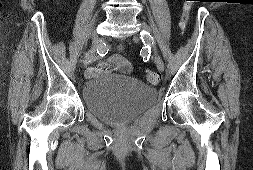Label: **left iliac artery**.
Returning <instances> with one entry per match:
<instances>
[{
    "instance_id": "left-iliac-artery-1",
    "label": "left iliac artery",
    "mask_w": 253,
    "mask_h": 170,
    "mask_svg": "<svg viewBox=\"0 0 253 170\" xmlns=\"http://www.w3.org/2000/svg\"><path fill=\"white\" fill-rule=\"evenodd\" d=\"M141 35V39L143 41V43L146 45H151L154 43L153 37L146 31H142L140 32Z\"/></svg>"
}]
</instances>
